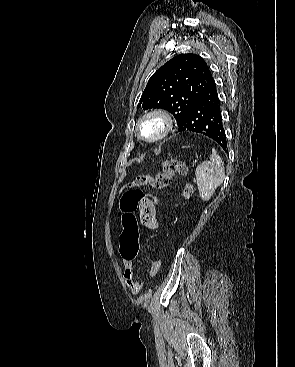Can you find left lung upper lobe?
<instances>
[{"label":"left lung upper lobe","mask_w":295,"mask_h":367,"mask_svg":"<svg viewBox=\"0 0 295 367\" xmlns=\"http://www.w3.org/2000/svg\"><path fill=\"white\" fill-rule=\"evenodd\" d=\"M211 77L202 57L192 53L177 55L151 76L137 108L165 109L179 126Z\"/></svg>","instance_id":"left-lung-upper-lobe-1"}]
</instances>
